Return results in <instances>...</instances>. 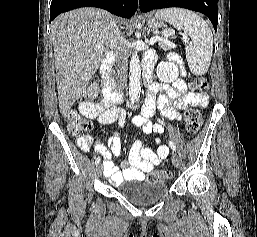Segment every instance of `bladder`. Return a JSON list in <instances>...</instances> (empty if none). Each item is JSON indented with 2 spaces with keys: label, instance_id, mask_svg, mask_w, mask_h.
<instances>
[{
  "label": "bladder",
  "instance_id": "31cf9c89",
  "mask_svg": "<svg viewBox=\"0 0 257 237\" xmlns=\"http://www.w3.org/2000/svg\"><path fill=\"white\" fill-rule=\"evenodd\" d=\"M166 182H142L131 180L130 186L120 190V194L131 204L138 207H147L158 202L168 191Z\"/></svg>",
  "mask_w": 257,
  "mask_h": 237
}]
</instances>
